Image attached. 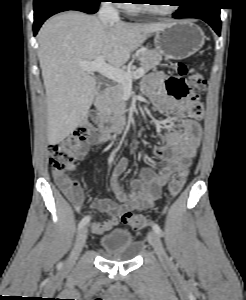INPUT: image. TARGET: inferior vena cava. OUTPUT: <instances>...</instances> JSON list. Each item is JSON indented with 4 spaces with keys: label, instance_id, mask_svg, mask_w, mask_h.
<instances>
[{
    "label": "inferior vena cava",
    "instance_id": "inferior-vena-cava-1",
    "mask_svg": "<svg viewBox=\"0 0 246 300\" xmlns=\"http://www.w3.org/2000/svg\"><path fill=\"white\" fill-rule=\"evenodd\" d=\"M98 18L104 25L119 21L118 11L110 3H103L98 13Z\"/></svg>",
    "mask_w": 246,
    "mask_h": 300
}]
</instances>
